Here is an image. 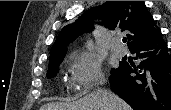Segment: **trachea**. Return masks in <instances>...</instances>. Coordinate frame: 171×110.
I'll list each match as a JSON object with an SVG mask.
<instances>
[{
    "mask_svg": "<svg viewBox=\"0 0 171 110\" xmlns=\"http://www.w3.org/2000/svg\"><path fill=\"white\" fill-rule=\"evenodd\" d=\"M122 41H123V43H126L127 42V39L126 38H123Z\"/></svg>",
    "mask_w": 171,
    "mask_h": 110,
    "instance_id": "trachea-1",
    "label": "trachea"
}]
</instances>
